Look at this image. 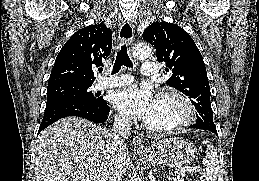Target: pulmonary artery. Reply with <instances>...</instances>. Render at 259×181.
Masks as SVG:
<instances>
[{
    "label": "pulmonary artery",
    "instance_id": "obj_1",
    "mask_svg": "<svg viewBox=\"0 0 259 181\" xmlns=\"http://www.w3.org/2000/svg\"><path fill=\"white\" fill-rule=\"evenodd\" d=\"M141 72L144 76H155L157 66L153 62H145L142 65ZM133 82V78L129 74L119 73L113 77L105 78L99 81V87L102 89L124 86Z\"/></svg>",
    "mask_w": 259,
    "mask_h": 181
}]
</instances>
